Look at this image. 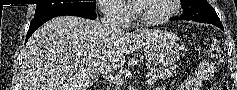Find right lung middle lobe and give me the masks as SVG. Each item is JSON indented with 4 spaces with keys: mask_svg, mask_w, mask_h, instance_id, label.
Segmentation results:
<instances>
[{
    "mask_svg": "<svg viewBox=\"0 0 237 90\" xmlns=\"http://www.w3.org/2000/svg\"><path fill=\"white\" fill-rule=\"evenodd\" d=\"M70 8H86L95 10L96 3H57V4H37L34 17H40L59 10Z\"/></svg>",
    "mask_w": 237,
    "mask_h": 90,
    "instance_id": "dd1d6c3e",
    "label": "right lung middle lobe"
}]
</instances>
